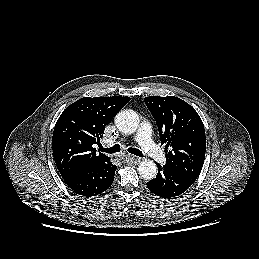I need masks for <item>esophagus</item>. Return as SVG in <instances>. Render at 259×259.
Returning <instances> with one entry per match:
<instances>
[{
	"label": "esophagus",
	"instance_id": "esophagus-1",
	"mask_svg": "<svg viewBox=\"0 0 259 259\" xmlns=\"http://www.w3.org/2000/svg\"><path fill=\"white\" fill-rule=\"evenodd\" d=\"M126 159L129 163H132V164H138L140 162V158L133 155H128Z\"/></svg>",
	"mask_w": 259,
	"mask_h": 259
}]
</instances>
